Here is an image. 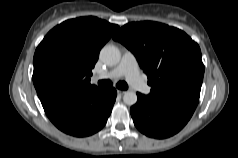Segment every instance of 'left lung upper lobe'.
Instances as JSON below:
<instances>
[{
  "label": "left lung upper lobe",
  "instance_id": "obj_1",
  "mask_svg": "<svg viewBox=\"0 0 238 158\" xmlns=\"http://www.w3.org/2000/svg\"><path fill=\"white\" fill-rule=\"evenodd\" d=\"M113 39L135 55L152 86L150 94L201 90V50L182 30L152 21L133 22L124 25Z\"/></svg>",
  "mask_w": 238,
  "mask_h": 158
}]
</instances>
